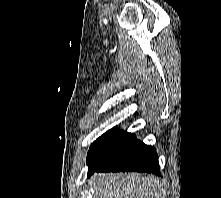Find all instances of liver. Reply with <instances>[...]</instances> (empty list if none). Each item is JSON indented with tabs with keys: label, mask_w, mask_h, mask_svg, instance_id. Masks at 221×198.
<instances>
[{
	"label": "liver",
	"mask_w": 221,
	"mask_h": 198,
	"mask_svg": "<svg viewBox=\"0 0 221 198\" xmlns=\"http://www.w3.org/2000/svg\"><path fill=\"white\" fill-rule=\"evenodd\" d=\"M94 198H165L166 189L153 176L102 173L93 176Z\"/></svg>",
	"instance_id": "liver-1"
}]
</instances>
